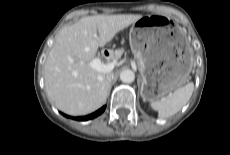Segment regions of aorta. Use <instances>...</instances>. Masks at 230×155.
Returning a JSON list of instances; mask_svg holds the SVG:
<instances>
[{
  "instance_id": "obj_1",
  "label": "aorta",
  "mask_w": 230,
  "mask_h": 155,
  "mask_svg": "<svg viewBox=\"0 0 230 155\" xmlns=\"http://www.w3.org/2000/svg\"><path fill=\"white\" fill-rule=\"evenodd\" d=\"M120 80L124 83H132L135 80V74L130 69H125L120 73Z\"/></svg>"
}]
</instances>
